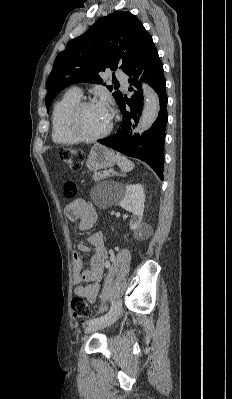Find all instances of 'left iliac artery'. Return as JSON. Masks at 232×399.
I'll list each match as a JSON object with an SVG mask.
<instances>
[{
	"instance_id": "1",
	"label": "left iliac artery",
	"mask_w": 232,
	"mask_h": 399,
	"mask_svg": "<svg viewBox=\"0 0 232 399\" xmlns=\"http://www.w3.org/2000/svg\"><path fill=\"white\" fill-rule=\"evenodd\" d=\"M116 308H117V302H113L112 306H111V308H110V310H109V312L107 314H105L103 316H100V317L91 318V319L86 321V324L87 325H92L94 323H97L99 320H104V319L109 318L111 315H113V313L116 310Z\"/></svg>"
}]
</instances>
